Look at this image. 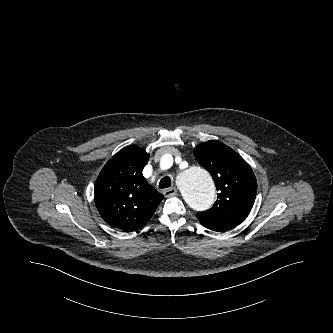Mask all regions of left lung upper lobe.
I'll list each match as a JSON object with an SVG mask.
<instances>
[{
	"label": "left lung upper lobe",
	"mask_w": 333,
	"mask_h": 333,
	"mask_svg": "<svg viewBox=\"0 0 333 333\" xmlns=\"http://www.w3.org/2000/svg\"><path fill=\"white\" fill-rule=\"evenodd\" d=\"M194 154L212 175L218 191L214 205L197 213L199 222L214 231L236 227L248 216L255 201L257 181L251 167L232 148L217 140L198 145Z\"/></svg>",
	"instance_id": "left-lung-upper-lobe-1"
}]
</instances>
